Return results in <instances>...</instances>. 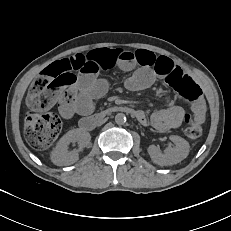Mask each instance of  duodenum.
I'll return each instance as SVG.
<instances>
[{
    "mask_svg": "<svg viewBox=\"0 0 231 231\" xmlns=\"http://www.w3.org/2000/svg\"><path fill=\"white\" fill-rule=\"evenodd\" d=\"M114 113H126L136 118L141 116L140 111H137L129 106L117 105L104 111L85 116L80 120L79 127L83 131H91L104 117L110 116Z\"/></svg>",
    "mask_w": 231,
    "mask_h": 231,
    "instance_id": "1",
    "label": "duodenum"
}]
</instances>
